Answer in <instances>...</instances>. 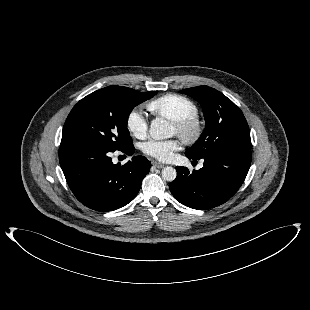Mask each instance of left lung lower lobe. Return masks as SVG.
<instances>
[{"label": "left lung lower lobe", "mask_w": 310, "mask_h": 310, "mask_svg": "<svg viewBox=\"0 0 310 310\" xmlns=\"http://www.w3.org/2000/svg\"><path fill=\"white\" fill-rule=\"evenodd\" d=\"M203 160V168L192 173L176 167L177 177L169 186L180 203L199 210L219 206L238 191L251 164V151H222Z\"/></svg>", "instance_id": "1"}]
</instances>
